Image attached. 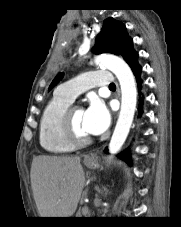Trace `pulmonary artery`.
Wrapping results in <instances>:
<instances>
[{
	"label": "pulmonary artery",
	"instance_id": "e3ab8cb5",
	"mask_svg": "<svg viewBox=\"0 0 181 227\" xmlns=\"http://www.w3.org/2000/svg\"><path fill=\"white\" fill-rule=\"evenodd\" d=\"M112 83L113 75L109 71H90L61 84L56 89V93L73 102L89 88L109 86Z\"/></svg>",
	"mask_w": 181,
	"mask_h": 227
}]
</instances>
